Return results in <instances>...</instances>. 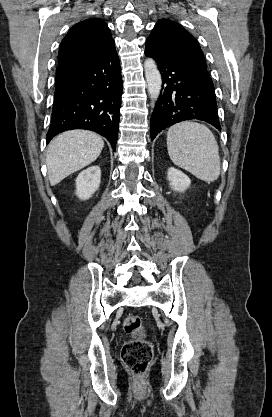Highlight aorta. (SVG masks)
I'll return each mask as SVG.
<instances>
[{"label":"aorta","mask_w":272,"mask_h":417,"mask_svg":"<svg viewBox=\"0 0 272 417\" xmlns=\"http://www.w3.org/2000/svg\"><path fill=\"white\" fill-rule=\"evenodd\" d=\"M144 69L149 96L152 100H157L161 91L162 79L155 61L152 58H147Z\"/></svg>","instance_id":"762f6f07"}]
</instances>
